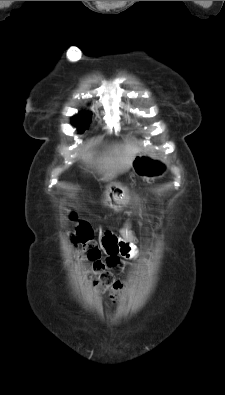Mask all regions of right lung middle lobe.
<instances>
[{
	"mask_svg": "<svg viewBox=\"0 0 225 395\" xmlns=\"http://www.w3.org/2000/svg\"><path fill=\"white\" fill-rule=\"evenodd\" d=\"M90 113L89 112H84L79 116H76L73 118V123L77 126H79L83 132L89 125L90 123Z\"/></svg>",
	"mask_w": 225,
	"mask_h": 395,
	"instance_id": "1",
	"label": "right lung middle lobe"
}]
</instances>
